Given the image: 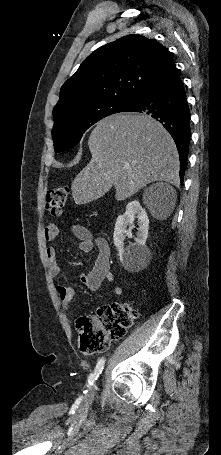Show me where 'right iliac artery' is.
Masks as SVG:
<instances>
[{
    "instance_id": "obj_1",
    "label": "right iliac artery",
    "mask_w": 221,
    "mask_h": 455,
    "mask_svg": "<svg viewBox=\"0 0 221 455\" xmlns=\"http://www.w3.org/2000/svg\"><path fill=\"white\" fill-rule=\"evenodd\" d=\"M104 364H105V359L104 358H101L95 369H94V372L92 374H90L89 378H88V387L92 386L94 384V382L97 380V378L99 377V375L101 374L102 370H103V367H104Z\"/></svg>"
}]
</instances>
